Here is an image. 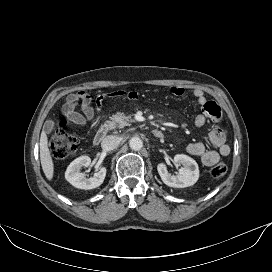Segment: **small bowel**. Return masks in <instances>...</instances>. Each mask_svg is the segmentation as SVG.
Listing matches in <instances>:
<instances>
[{"label": "small bowel", "mask_w": 272, "mask_h": 272, "mask_svg": "<svg viewBox=\"0 0 272 272\" xmlns=\"http://www.w3.org/2000/svg\"><path fill=\"white\" fill-rule=\"evenodd\" d=\"M192 95L196 98L201 106L200 113L195 117V125L201 127L207 121H218L221 116L219 105L211 100H207L201 89L195 88ZM171 93L176 97H182L185 94V89L181 86H173ZM138 93L130 90H118L110 93H100L97 95L95 104L97 111H100L103 102L109 99H138ZM82 103L83 114L78 113L75 108L78 102ZM64 116L79 127H84L87 120L94 117V109L92 108V97L86 91L69 94L62 107ZM209 144L215 149L208 148L202 142H193L187 145L186 150L189 154L197 156L205 166H213L220 157L227 156L230 153V147L227 144L226 132L219 126H214L209 132Z\"/></svg>", "instance_id": "c3829d8e"}]
</instances>
